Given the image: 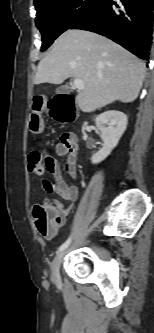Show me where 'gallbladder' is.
Wrapping results in <instances>:
<instances>
[{
	"mask_svg": "<svg viewBox=\"0 0 154 333\" xmlns=\"http://www.w3.org/2000/svg\"><path fill=\"white\" fill-rule=\"evenodd\" d=\"M69 92V89L67 86H60L56 89L57 94H66Z\"/></svg>",
	"mask_w": 154,
	"mask_h": 333,
	"instance_id": "1",
	"label": "gallbladder"
}]
</instances>
